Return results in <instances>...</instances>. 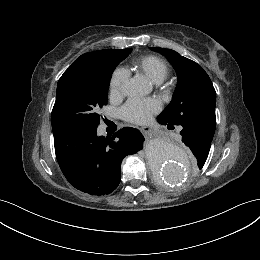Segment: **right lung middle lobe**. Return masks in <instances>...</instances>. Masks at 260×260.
Listing matches in <instances>:
<instances>
[{
  "instance_id": "right-lung-middle-lobe-1",
  "label": "right lung middle lobe",
  "mask_w": 260,
  "mask_h": 260,
  "mask_svg": "<svg viewBox=\"0 0 260 260\" xmlns=\"http://www.w3.org/2000/svg\"><path fill=\"white\" fill-rule=\"evenodd\" d=\"M131 49H113L74 62L57 84L52 110L53 135L98 127L100 109L107 104L109 83L116 66Z\"/></svg>"
}]
</instances>
